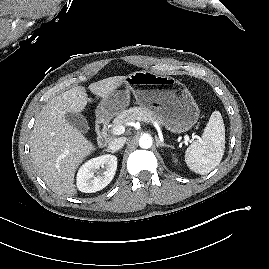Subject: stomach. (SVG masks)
<instances>
[{
    "mask_svg": "<svg viewBox=\"0 0 269 269\" xmlns=\"http://www.w3.org/2000/svg\"><path fill=\"white\" fill-rule=\"evenodd\" d=\"M130 92L140 107L151 111L167 130L181 134L190 130L199 119V108L189 90L178 80L152 71H136L125 77L118 89L100 102L96 114L107 120L121 113L128 105Z\"/></svg>",
    "mask_w": 269,
    "mask_h": 269,
    "instance_id": "stomach-1",
    "label": "stomach"
}]
</instances>
